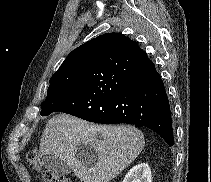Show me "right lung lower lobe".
Listing matches in <instances>:
<instances>
[{
    "instance_id": "right-lung-lower-lobe-1",
    "label": "right lung lower lobe",
    "mask_w": 211,
    "mask_h": 182,
    "mask_svg": "<svg viewBox=\"0 0 211 182\" xmlns=\"http://www.w3.org/2000/svg\"><path fill=\"white\" fill-rule=\"evenodd\" d=\"M54 112L101 124L145 126L174 144L163 81L145 52L119 33L96 38L80 84L55 103Z\"/></svg>"
}]
</instances>
